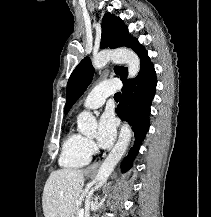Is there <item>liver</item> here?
<instances>
[{
  "label": "liver",
  "mask_w": 211,
  "mask_h": 217,
  "mask_svg": "<svg viewBox=\"0 0 211 217\" xmlns=\"http://www.w3.org/2000/svg\"><path fill=\"white\" fill-rule=\"evenodd\" d=\"M84 186V171H53L45 183L42 207L45 217H70Z\"/></svg>",
  "instance_id": "1"
}]
</instances>
